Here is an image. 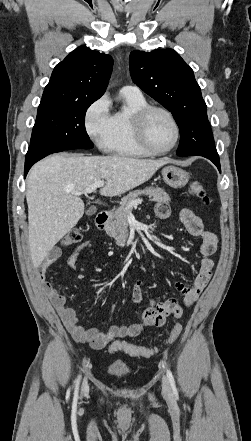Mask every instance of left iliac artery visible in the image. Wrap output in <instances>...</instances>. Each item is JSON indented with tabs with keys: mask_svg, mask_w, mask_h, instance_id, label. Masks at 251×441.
Returning a JSON list of instances; mask_svg holds the SVG:
<instances>
[{
	"mask_svg": "<svg viewBox=\"0 0 251 441\" xmlns=\"http://www.w3.org/2000/svg\"><path fill=\"white\" fill-rule=\"evenodd\" d=\"M166 374H167V378H168V380L170 382L173 394H177V388H176L175 380H174L173 374L170 371V369H167Z\"/></svg>",
	"mask_w": 251,
	"mask_h": 441,
	"instance_id": "obj_1",
	"label": "left iliac artery"
}]
</instances>
